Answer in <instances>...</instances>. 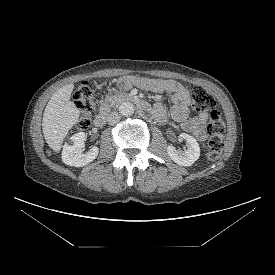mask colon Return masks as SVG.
<instances>
[{
    "label": "colon",
    "instance_id": "5ec220e1",
    "mask_svg": "<svg viewBox=\"0 0 275 275\" xmlns=\"http://www.w3.org/2000/svg\"><path fill=\"white\" fill-rule=\"evenodd\" d=\"M74 102L80 111V127L86 128L97 108L95 96L90 83H83L75 91ZM215 100L204 89L196 87L192 92L193 110L201 112L211 110L207 125L208 145L206 156L210 160L219 158L224 145L225 124L221 113L215 109Z\"/></svg>",
    "mask_w": 275,
    "mask_h": 275
}]
</instances>
